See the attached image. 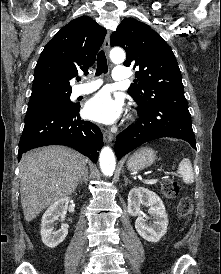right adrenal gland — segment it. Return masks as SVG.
Instances as JSON below:
<instances>
[{"instance_id":"obj_1","label":"right adrenal gland","mask_w":221,"mask_h":274,"mask_svg":"<svg viewBox=\"0 0 221 274\" xmlns=\"http://www.w3.org/2000/svg\"><path fill=\"white\" fill-rule=\"evenodd\" d=\"M88 181V168H85L84 174L82 176V178L79 181V185H82L83 182L87 183Z\"/></svg>"}]
</instances>
